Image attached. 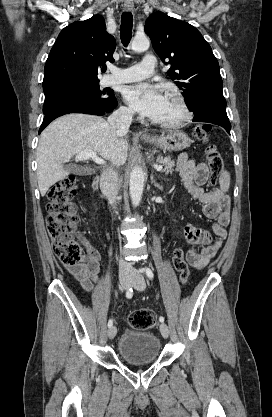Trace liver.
<instances>
[{
	"instance_id": "liver-1",
	"label": "liver",
	"mask_w": 272,
	"mask_h": 417,
	"mask_svg": "<svg viewBox=\"0 0 272 417\" xmlns=\"http://www.w3.org/2000/svg\"><path fill=\"white\" fill-rule=\"evenodd\" d=\"M126 133L94 115L69 114L53 121L42 132L37 148V180L41 195L68 176L64 163L82 151H95L113 165H123L128 152Z\"/></svg>"
}]
</instances>
